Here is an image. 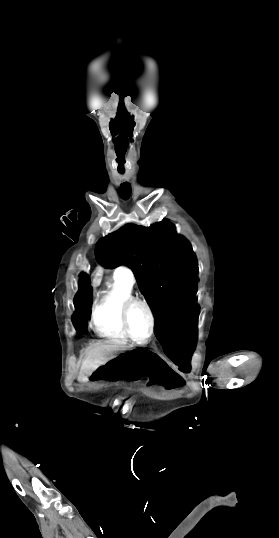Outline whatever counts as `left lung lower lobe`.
Here are the masks:
<instances>
[{"mask_svg": "<svg viewBox=\"0 0 279 538\" xmlns=\"http://www.w3.org/2000/svg\"><path fill=\"white\" fill-rule=\"evenodd\" d=\"M169 359L184 372H190V359L195 349L197 330L188 332H155Z\"/></svg>", "mask_w": 279, "mask_h": 538, "instance_id": "0a47b994", "label": "left lung lower lobe"}]
</instances>
